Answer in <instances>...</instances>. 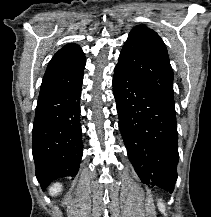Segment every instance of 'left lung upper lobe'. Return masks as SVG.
Here are the masks:
<instances>
[{
    "mask_svg": "<svg viewBox=\"0 0 211 217\" xmlns=\"http://www.w3.org/2000/svg\"><path fill=\"white\" fill-rule=\"evenodd\" d=\"M118 61L120 67L174 105L173 70L166 46L154 30L144 25L133 28Z\"/></svg>",
    "mask_w": 211,
    "mask_h": 217,
    "instance_id": "obj_1",
    "label": "left lung upper lobe"
}]
</instances>
